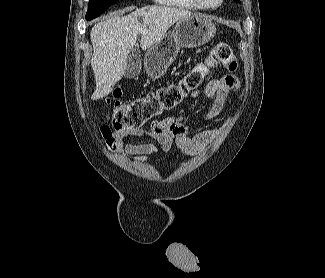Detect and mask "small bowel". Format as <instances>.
<instances>
[{
  "label": "small bowel",
  "instance_id": "small-bowel-1",
  "mask_svg": "<svg viewBox=\"0 0 325 278\" xmlns=\"http://www.w3.org/2000/svg\"><path fill=\"white\" fill-rule=\"evenodd\" d=\"M240 82L234 76L214 78L212 71L202 89L191 94V99L201 93L204 98L212 99V105L204 116V121L215 119L223 110L230 92H237ZM219 133V128H212L190 134L184 123V117H169L152 123L150 128L125 130L115 132L113 139L121 146L123 141L130 137L147 136L159 143H129L123 146V152L132 157L135 162H147L148 156L166 152L174 143L186 155H192L204 150L209 142Z\"/></svg>",
  "mask_w": 325,
  "mask_h": 278
}]
</instances>
